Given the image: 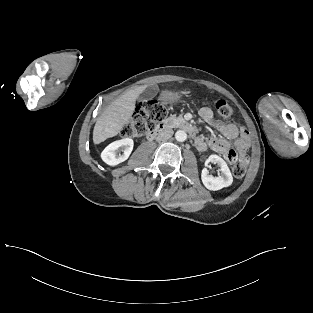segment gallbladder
<instances>
[{
    "instance_id": "gallbladder-1",
    "label": "gallbladder",
    "mask_w": 313,
    "mask_h": 313,
    "mask_svg": "<svg viewBox=\"0 0 313 313\" xmlns=\"http://www.w3.org/2000/svg\"><path fill=\"white\" fill-rule=\"evenodd\" d=\"M156 91H157V87L156 86H149L145 90V99H148L149 97H152L153 95H155Z\"/></svg>"
}]
</instances>
